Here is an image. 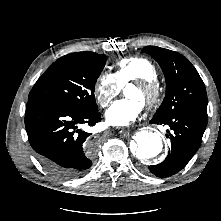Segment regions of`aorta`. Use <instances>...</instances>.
Instances as JSON below:
<instances>
[{
  "mask_svg": "<svg viewBox=\"0 0 221 221\" xmlns=\"http://www.w3.org/2000/svg\"><path fill=\"white\" fill-rule=\"evenodd\" d=\"M133 153L139 161H147L158 156L163 150V140L159 133L140 131L135 135Z\"/></svg>",
  "mask_w": 221,
  "mask_h": 221,
  "instance_id": "1",
  "label": "aorta"
}]
</instances>
